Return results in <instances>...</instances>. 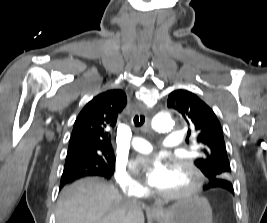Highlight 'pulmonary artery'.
<instances>
[{
    "label": "pulmonary artery",
    "mask_w": 267,
    "mask_h": 223,
    "mask_svg": "<svg viewBox=\"0 0 267 223\" xmlns=\"http://www.w3.org/2000/svg\"><path fill=\"white\" fill-rule=\"evenodd\" d=\"M182 141H183V136L181 134L177 133L167 134L164 140V146L169 148L177 147L181 145ZM131 144L134 150L141 153H148L153 149L152 144L143 138H133Z\"/></svg>",
    "instance_id": "e3ab8cb5"
}]
</instances>
